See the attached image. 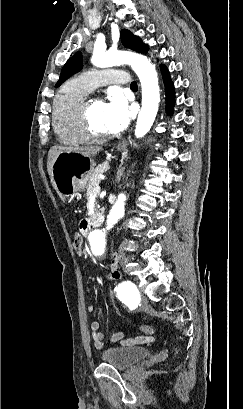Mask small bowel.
Instances as JSON below:
<instances>
[{
    "mask_svg": "<svg viewBox=\"0 0 243 409\" xmlns=\"http://www.w3.org/2000/svg\"><path fill=\"white\" fill-rule=\"evenodd\" d=\"M119 277H120V273L118 271V262L116 260H113L111 262V266L108 271V278L109 280H116V279H119ZM88 311L94 312L95 306L90 305L88 307ZM91 332H92V338H93L95 347L98 349L104 348L106 346V343H105L106 338H105V335L100 331V324L98 321H93L91 323ZM152 334H145V335L137 336L135 338L123 339L124 338L123 333L117 332L111 336L110 342L120 343L123 346L148 345L154 341V337L152 336Z\"/></svg>",
    "mask_w": 243,
    "mask_h": 409,
    "instance_id": "obj_1",
    "label": "small bowel"
}]
</instances>
